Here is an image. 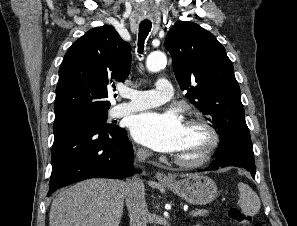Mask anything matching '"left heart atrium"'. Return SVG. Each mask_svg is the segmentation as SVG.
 I'll list each match as a JSON object with an SVG mask.
<instances>
[{
    "label": "left heart atrium",
    "instance_id": "left-heart-atrium-1",
    "mask_svg": "<svg viewBox=\"0 0 297 226\" xmlns=\"http://www.w3.org/2000/svg\"><path fill=\"white\" fill-rule=\"evenodd\" d=\"M133 138L155 151L177 152L183 141L184 124L174 112H145L131 121Z\"/></svg>",
    "mask_w": 297,
    "mask_h": 226
}]
</instances>
